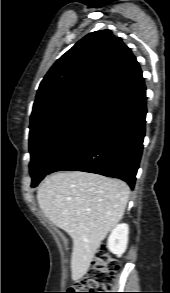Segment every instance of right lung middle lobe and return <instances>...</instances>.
<instances>
[{"mask_svg": "<svg viewBox=\"0 0 170 293\" xmlns=\"http://www.w3.org/2000/svg\"><path fill=\"white\" fill-rule=\"evenodd\" d=\"M103 108L93 103L77 104L30 127L32 187L38 185L51 166L86 132Z\"/></svg>", "mask_w": 170, "mask_h": 293, "instance_id": "obj_1", "label": "right lung middle lobe"}]
</instances>
